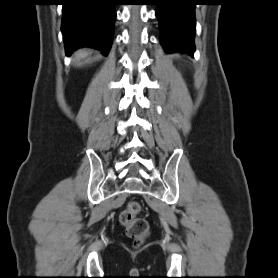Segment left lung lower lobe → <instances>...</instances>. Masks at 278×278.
Masks as SVG:
<instances>
[{"label": "left lung lower lobe", "mask_w": 278, "mask_h": 278, "mask_svg": "<svg viewBox=\"0 0 278 278\" xmlns=\"http://www.w3.org/2000/svg\"><path fill=\"white\" fill-rule=\"evenodd\" d=\"M196 4V0H156L160 40L166 51L194 52Z\"/></svg>", "instance_id": "0a47b994"}]
</instances>
